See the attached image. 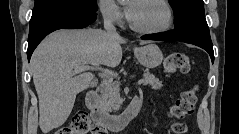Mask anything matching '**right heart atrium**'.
Instances as JSON below:
<instances>
[{
  "mask_svg": "<svg viewBox=\"0 0 239 134\" xmlns=\"http://www.w3.org/2000/svg\"><path fill=\"white\" fill-rule=\"evenodd\" d=\"M99 9L103 19L111 24H119L122 22L121 8L114 0H100Z\"/></svg>",
  "mask_w": 239,
  "mask_h": 134,
  "instance_id": "obj_1",
  "label": "right heart atrium"
}]
</instances>
